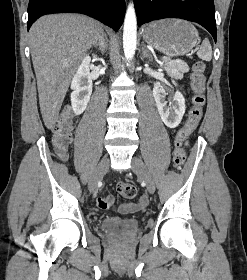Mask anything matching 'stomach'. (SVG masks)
<instances>
[{
	"mask_svg": "<svg viewBox=\"0 0 247 280\" xmlns=\"http://www.w3.org/2000/svg\"><path fill=\"white\" fill-rule=\"evenodd\" d=\"M143 39L156 50L173 57L192 51L199 35L188 21L163 19L149 23L143 29Z\"/></svg>",
	"mask_w": 247,
	"mask_h": 280,
	"instance_id": "1",
	"label": "stomach"
}]
</instances>
